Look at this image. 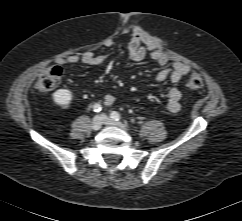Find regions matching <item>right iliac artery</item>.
I'll list each match as a JSON object with an SVG mask.
<instances>
[{
	"mask_svg": "<svg viewBox=\"0 0 242 221\" xmlns=\"http://www.w3.org/2000/svg\"><path fill=\"white\" fill-rule=\"evenodd\" d=\"M102 109L101 105L96 103L94 106H93V111L94 112H100Z\"/></svg>",
	"mask_w": 242,
	"mask_h": 221,
	"instance_id": "82829eb1",
	"label": "right iliac artery"
}]
</instances>
